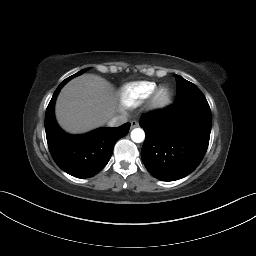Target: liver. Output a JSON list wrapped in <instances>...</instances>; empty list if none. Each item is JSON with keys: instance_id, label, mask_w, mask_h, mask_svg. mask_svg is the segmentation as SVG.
<instances>
[{"instance_id": "1", "label": "liver", "mask_w": 256, "mask_h": 256, "mask_svg": "<svg viewBox=\"0 0 256 256\" xmlns=\"http://www.w3.org/2000/svg\"><path fill=\"white\" fill-rule=\"evenodd\" d=\"M112 85L94 74L72 79L61 90L55 106L59 125L72 134L103 126L116 112Z\"/></svg>"}]
</instances>
